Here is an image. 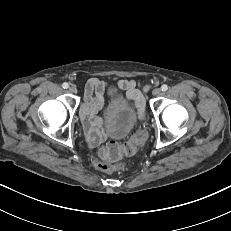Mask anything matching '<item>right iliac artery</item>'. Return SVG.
<instances>
[{
    "label": "right iliac artery",
    "mask_w": 231,
    "mask_h": 231,
    "mask_svg": "<svg viewBox=\"0 0 231 231\" xmlns=\"http://www.w3.org/2000/svg\"><path fill=\"white\" fill-rule=\"evenodd\" d=\"M62 87H63L64 89H67V88L69 87V84H68L67 82H64V83L62 84Z\"/></svg>",
    "instance_id": "right-iliac-artery-1"
}]
</instances>
